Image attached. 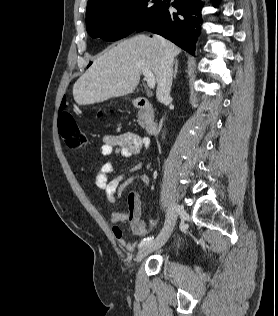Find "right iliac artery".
<instances>
[{"label": "right iliac artery", "mask_w": 278, "mask_h": 316, "mask_svg": "<svg viewBox=\"0 0 278 316\" xmlns=\"http://www.w3.org/2000/svg\"><path fill=\"white\" fill-rule=\"evenodd\" d=\"M152 240H153V237L144 238V239L140 242L139 247L141 248V247H143V246L149 244Z\"/></svg>", "instance_id": "right-iliac-artery-1"}]
</instances>
